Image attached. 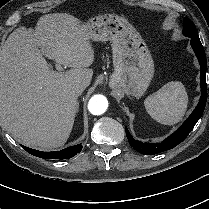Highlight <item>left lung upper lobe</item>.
<instances>
[{"mask_svg": "<svg viewBox=\"0 0 209 209\" xmlns=\"http://www.w3.org/2000/svg\"><path fill=\"white\" fill-rule=\"evenodd\" d=\"M183 35L191 39L199 38L197 30L189 18L184 19Z\"/></svg>", "mask_w": 209, "mask_h": 209, "instance_id": "left-lung-upper-lobe-1", "label": "left lung upper lobe"}]
</instances>
